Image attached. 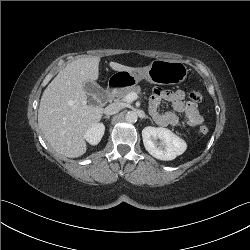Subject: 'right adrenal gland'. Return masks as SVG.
I'll list each match as a JSON object with an SVG mask.
<instances>
[{"mask_svg":"<svg viewBox=\"0 0 250 250\" xmlns=\"http://www.w3.org/2000/svg\"><path fill=\"white\" fill-rule=\"evenodd\" d=\"M103 118H104V119H110V116L107 115V116H104Z\"/></svg>","mask_w":250,"mask_h":250,"instance_id":"right-adrenal-gland-1","label":"right adrenal gland"}]
</instances>
